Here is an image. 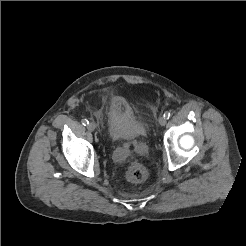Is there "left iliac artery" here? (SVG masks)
<instances>
[{
	"label": "left iliac artery",
	"mask_w": 246,
	"mask_h": 246,
	"mask_svg": "<svg viewBox=\"0 0 246 246\" xmlns=\"http://www.w3.org/2000/svg\"><path fill=\"white\" fill-rule=\"evenodd\" d=\"M170 116H171V113H170L169 111H166V112L164 113V117H165L166 119H169Z\"/></svg>",
	"instance_id": "obj_1"
}]
</instances>
